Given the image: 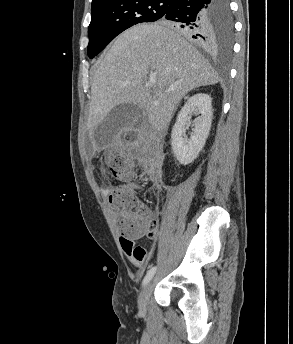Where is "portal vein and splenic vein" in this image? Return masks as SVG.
<instances>
[{"label":"portal vein and splenic vein","instance_id":"1","mask_svg":"<svg viewBox=\"0 0 293 344\" xmlns=\"http://www.w3.org/2000/svg\"><path fill=\"white\" fill-rule=\"evenodd\" d=\"M155 85H156V80L154 78V79H151L150 82L146 86L151 88V87H154ZM168 91H170V89Z\"/></svg>","mask_w":293,"mask_h":344}]
</instances>
